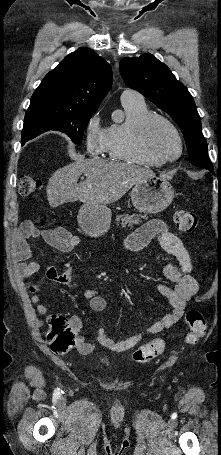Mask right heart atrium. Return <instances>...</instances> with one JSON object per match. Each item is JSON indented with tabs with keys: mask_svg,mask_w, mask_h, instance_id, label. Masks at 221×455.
Returning <instances> with one entry per match:
<instances>
[{
	"mask_svg": "<svg viewBox=\"0 0 221 455\" xmlns=\"http://www.w3.org/2000/svg\"><path fill=\"white\" fill-rule=\"evenodd\" d=\"M107 127L102 124L99 112L94 113L85 125L84 139L89 153L98 155L104 152Z\"/></svg>",
	"mask_w": 221,
	"mask_h": 455,
	"instance_id": "d8ad5b80",
	"label": "right heart atrium"
}]
</instances>
